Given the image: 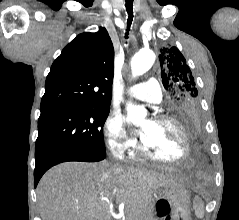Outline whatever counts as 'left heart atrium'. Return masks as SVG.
Segmentation results:
<instances>
[{
  "mask_svg": "<svg viewBox=\"0 0 239 220\" xmlns=\"http://www.w3.org/2000/svg\"><path fill=\"white\" fill-rule=\"evenodd\" d=\"M138 134H139L140 137L143 139V137H144V132H143V130H140V131L138 132Z\"/></svg>",
  "mask_w": 239,
  "mask_h": 220,
  "instance_id": "1",
  "label": "left heart atrium"
}]
</instances>
